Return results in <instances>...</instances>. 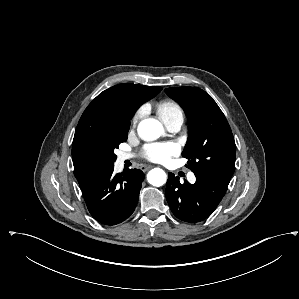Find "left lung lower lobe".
I'll return each instance as SVG.
<instances>
[{
  "label": "left lung lower lobe",
  "mask_w": 299,
  "mask_h": 299,
  "mask_svg": "<svg viewBox=\"0 0 299 299\" xmlns=\"http://www.w3.org/2000/svg\"><path fill=\"white\" fill-rule=\"evenodd\" d=\"M195 184L168 174L166 198L173 214L188 223L205 220L218 206L225 195L228 183L206 173H194Z\"/></svg>",
  "instance_id": "0a47b994"
}]
</instances>
